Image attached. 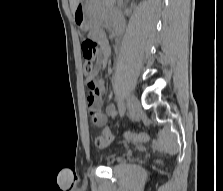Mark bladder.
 <instances>
[{
	"instance_id": "1",
	"label": "bladder",
	"mask_w": 223,
	"mask_h": 191,
	"mask_svg": "<svg viewBox=\"0 0 223 191\" xmlns=\"http://www.w3.org/2000/svg\"><path fill=\"white\" fill-rule=\"evenodd\" d=\"M99 155H100V157L103 158V159L109 157V155H108V153H107L106 151H101Z\"/></svg>"
}]
</instances>
